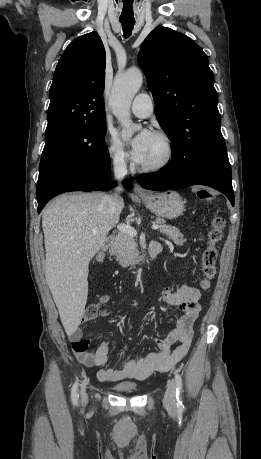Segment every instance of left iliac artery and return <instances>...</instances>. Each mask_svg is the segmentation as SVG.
Returning <instances> with one entry per match:
<instances>
[{
    "label": "left iliac artery",
    "instance_id": "44dca946",
    "mask_svg": "<svg viewBox=\"0 0 261 459\" xmlns=\"http://www.w3.org/2000/svg\"><path fill=\"white\" fill-rule=\"evenodd\" d=\"M175 384H176V399H177V407L179 409H183V400H182V393H183V386H182V379L179 374H175Z\"/></svg>",
    "mask_w": 261,
    "mask_h": 459
}]
</instances>
